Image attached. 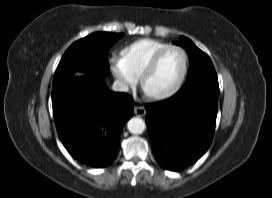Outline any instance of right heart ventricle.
Listing matches in <instances>:
<instances>
[{"label": "right heart ventricle", "mask_w": 272, "mask_h": 198, "mask_svg": "<svg viewBox=\"0 0 272 198\" xmlns=\"http://www.w3.org/2000/svg\"><path fill=\"white\" fill-rule=\"evenodd\" d=\"M168 45L155 39H140L124 47L121 56L129 70L139 77L153 55Z\"/></svg>", "instance_id": "obj_1"}]
</instances>
